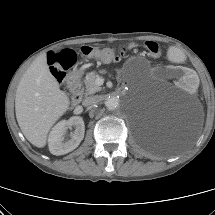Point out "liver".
I'll return each instance as SVG.
<instances>
[{
    "mask_svg": "<svg viewBox=\"0 0 215 215\" xmlns=\"http://www.w3.org/2000/svg\"><path fill=\"white\" fill-rule=\"evenodd\" d=\"M69 105V97L49 70L46 54L40 55L23 74L16 90V119L26 139L43 148L51 127Z\"/></svg>",
    "mask_w": 215,
    "mask_h": 215,
    "instance_id": "obj_1",
    "label": "liver"
}]
</instances>
